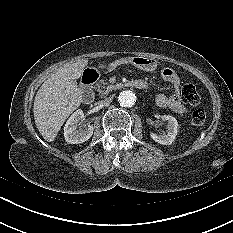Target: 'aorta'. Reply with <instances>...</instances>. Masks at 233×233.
I'll list each match as a JSON object with an SVG mask.
<instances>
[{
	"instance_id": "762f6f07",
	"label": "aorta",
	"mask_w": 233,
	"mask_h": 233,
	"mask_svg": "<svg viewBox=\"0 0 233 233\" xmlns=\"http://www.w3.org/2000/svg\"><path fill=\"white\" fill-rule=\"evenodd\" d=\"M136 100V94L132 90H124L118 96V102L123 107H132L136 103Z\"/></svg>"
}]
</instances>
